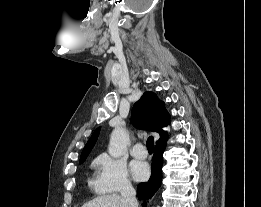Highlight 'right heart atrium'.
Returning <instances> with one entry per match:
<instances>
[{"instance_id":"1","label":"right heart atrium","mask_w":261,"mask_h":207,"mask_svg":"<svg viewBox=\"0 0 261 207\" xmlns=\"http://www.w3.org/2000/svg\"><path fill=\"white\" fill-rule=\"evenodd\" d=\"M97 174L92 184L101 194L115 193L131 187L126 164L108 154H101L95 160Z\"/></svg>"}]
</instances>
